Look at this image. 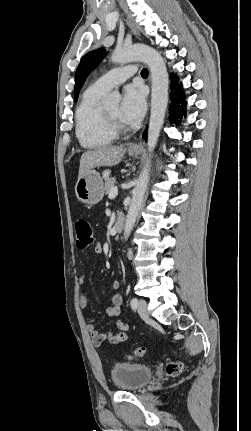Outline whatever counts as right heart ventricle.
<instances>
[{
    "label": "right heart ventricle",
    "mask_w": 251,
    "mask_h": 431,
    "mask_svg": "<svg viewBox=\"0 0 251 431\" xmlns=\"http://www.w3.org/2000/svg\"><path fill=\"white\" fill-rule=\"evenodd\" d=\"M106 93L93 86L88 87L76 108V136L84 148L94 149L111 144L116 134L105 123L101 98Z\"/></svg>",
    "instance_id": "right-heart-ventricle-1"
}]
</instances>
